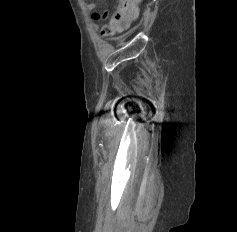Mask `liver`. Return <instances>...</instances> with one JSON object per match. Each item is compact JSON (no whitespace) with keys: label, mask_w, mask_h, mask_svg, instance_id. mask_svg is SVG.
<instances>
[{"label":"liver","mask_w":237,"mask_h":232,"mask_svg":"<svg viewBox=\"0 0 237 232\" xmlns=\"http://www.w3.org/2000/svg\"><path fill=\"white\" fill-rule=\"evenodd\" d=\"M137 2H141V0H136Z\"/></svg>","instance_id":"1"}]
</instances>
